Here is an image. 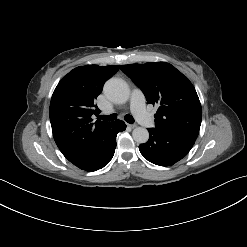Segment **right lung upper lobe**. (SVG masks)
Returning <instances> with one entry per match:
<instances>
[{
	"label": "right lung upper lobe",
	"instance_id": "obj_1",
	"mask_svg": "<svg viewBox=\"0 0 247 247\" xmlns=\"http://www.w3.org/2000/svg\"><path fill=\"white\" fill-rule=\"evenodd\" d=\"M119 67L80 66L64 76L55 88L50 102V122L54 140L66 158L81 150L94 129L109 123L93 122L91 116L100 112L95 99Z\"/></svg>",
	"mask_w": 247,
	"mask_h": 247
}]
</instances>
